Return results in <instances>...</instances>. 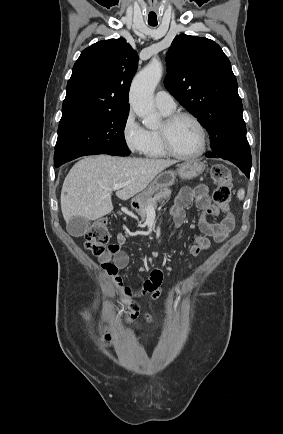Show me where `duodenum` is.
I'll use <instances>...</instances> for the list:
<instances>
[{
    "instance_id": "duodenum-1",
    "label": "duodenum",
    "mask_w": 283,
    "mask_h": 434,
    "mask_svg": "<svg viewBox=\"0 0 283 434\" xmlns=\"http://www.w3.org/2000/svg\"><path fill=\"white\" fill-rule=\"evenodd\" d=\"M137 200H133L132 202H131V205L134 207V206H136L137 205Z\"/></svg>"
}]
</instances>
